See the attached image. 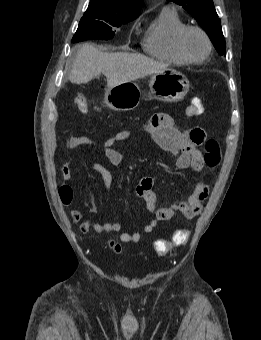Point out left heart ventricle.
<instances>
[{"mask_svg": "<svg viewBox=\"0 0 261 340\" xmlns=\"http://www.w3.org/2000/svg\"><path fill=\"white\" fill-rule=\"evenodd\" d=\"M183 47L187 55L193 59H201L207 52V43L197 31H190L185 35Z\"/></svg>", "mask_w": 261, "mask_h": 340, "instance_id": "b2bd125f", "label": "left heart ventricle"}]
</instances>
